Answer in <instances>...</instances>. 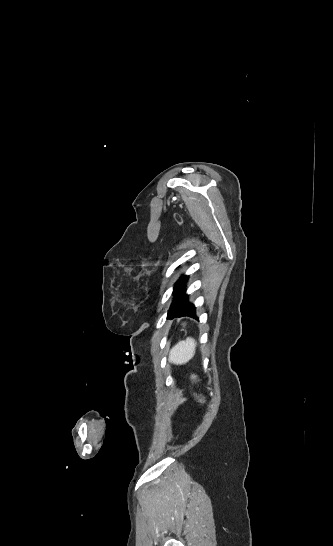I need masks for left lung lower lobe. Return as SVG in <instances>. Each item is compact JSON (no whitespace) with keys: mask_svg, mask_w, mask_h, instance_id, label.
Segmentation results:
<instances>
[{"mask_svg":"<svg viewBox=\"0 0 333 546\" xmlns=\"http://www.w3.org/2000/svg\"><path fill=\"white\" fill-rule=\"evenodd\" d=\"M187 279L188 277L183 275L174 286L175 298L168 311L169 318L189 316L198 319L195 314V306L188 302V295L185 290Z\"/></svg>","mask_w":333,"mask_h":546,"instance_id":"0a47b994","label":"left lung lower lobe"}]
</instances>
